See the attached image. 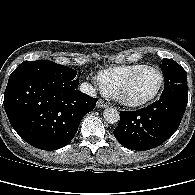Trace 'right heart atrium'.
<instances>
[{
  "instance_id": "d8ad5b80",
  "label": "right heart atrium",
  "mask_w": 195,
  "mask_h": 195,
  "mask_svg": "<svg viewBox=\"0 0 195 195\" xmlns=\"http://www.w3.org/2000/svg\"><path fill=\"white\" fill-rule=\"evenodd\" d=\"M94 84H95L96 86H98L100 89L104 90V88H103V86H102V84H101V82L99 81L98 78L95 80Z\"/></svg>"
}]
</instances>
